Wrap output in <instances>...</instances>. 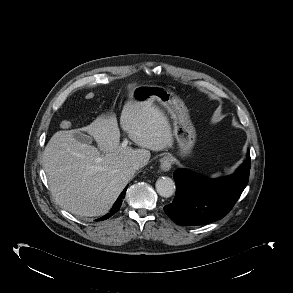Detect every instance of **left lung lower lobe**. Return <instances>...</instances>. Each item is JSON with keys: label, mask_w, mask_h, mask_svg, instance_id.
Masks as SVG:
<instances>
[{"label": "left lung lower lobe", "mask_w": 293, "mask_h": 293, "mask_svg": "<svg viewBox=\"0 0 293 293\" xmlns=\"http://www.w3.org/2000/svg\"><path fill=\"white\" fill-rule=\"evenodd\" d=\"M247 159L233 175L215 180L189 170H176V196L164 207L165 213L179 225H203L223 218L248 183L249 151Z\"/></svg>", "instance_id": "0a47b994"}]
</instances>
